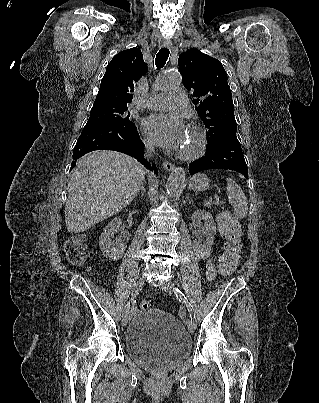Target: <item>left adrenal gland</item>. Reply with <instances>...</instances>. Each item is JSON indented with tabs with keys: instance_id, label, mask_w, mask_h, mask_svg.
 Listing matches in <instances>:
<instances>
[{
	"instance_id": "obj_1",
	"label": "left adrenal gland",
	"mask_w": 319,
	"mask_h": 403,
	"mask_svg": "<svg viewBox=\"0 0 319 403\" xmlns=\"http://www.w3.org/2000/svg\"><path fill=\"white\" fill-rule=\"evenodd\" d=\"M189 196H190L189 194L186 195V198H185V201H184L185 204H186L187 202L191 203L190 200H189Z\"/></svg>"
}]
</instances>
